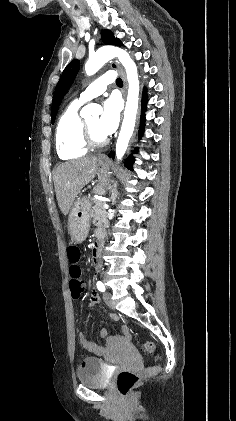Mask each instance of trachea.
Wrapping results in <instances>:
<instances>
[{
    "instance_id": "3493384b",
    "label": "trachea",
    "mask_w": 236,
    "mask_h": 421,
    "mask_svg": "<svg viewBox=\"0 0 236 421\" xmlns=\"http://www.w3.org/2000/svg\"><path fill=\"white\" fill-rule=\"evenodd\" d=\"M116 85L122 87L123 86V80H121V78H117Z\"/></svg>"
}]
</instances>
